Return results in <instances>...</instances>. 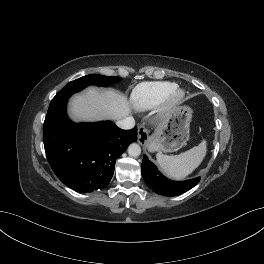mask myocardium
<instances>
[{
  "instance_id": "myocardium-1",
  "label": "myocardium",
  "mask_w": 264,
  "mask_h": 264,
  "mask_svg": "<svg viewBox=\"0 0 264 264\" xmlns=\"http://www.w3.org/2000/svg\"><path fill=\"white\" fill-rule=\"evenodd\" d=\"M185 98V91L176 87L173 89L161 103L162 112H169L183 102Z\"/></svg>"
}]
</instances>
